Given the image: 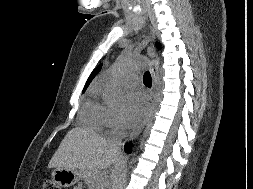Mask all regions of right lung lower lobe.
I'll return each mask as SVG.
<instances>
[{
	"label": "right lung lower lobe",
	"mask_w": 253,
	"mask_h": 189,
	"mask_svg": "<svg viewBox=\"0 0 253 189\" xmlns=\"http://www.w3.org/2000/svg\"><path fill=\"white\" fill-rule=\"evenodd\" d=\"M125 151H126L127 153H131V144H126V145H125Z\"/></svg>",
	"instance_id": "98d812e1"
}]
</instances>
